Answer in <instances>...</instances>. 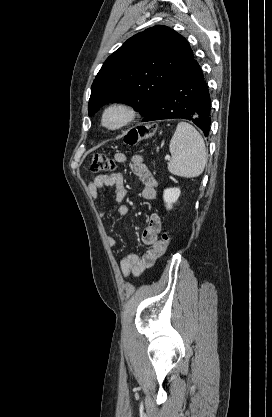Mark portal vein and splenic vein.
<instances>
[{"label":"portal vein and splenic vein","mask_w":272,"mask_h":417,"mask_svg":"<svg viewBox=\"0 0 272 417\" xmlns=\"http://www.w3.org/2000/svg\"><path fill=\"white\" fill-rule=\"evenodd\" d=\"M165 159H166V160H170V156H169V155H167V156L165 157Z\"/></svg>","instance_id":"portal-vein-and-splenic-vein-1"}]
</instances>
